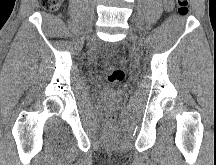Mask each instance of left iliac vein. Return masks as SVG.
I'll list each match as a JSON object with an SVG mask.
<instances>
[{"mask_svg": "<svg viewBox=\"0 0 216 165\" xmlns=\"http://www.w3.org/2000/svg\"><path fill=\"white\" fill-rule=\"evenodd\" d=\"M130 37H131L132 40H135V38H136L135 33L132 30H131V33H130Z\"/></svg>", "mask_w": 216, "mask_h": 165, "instance_id": "1", "label": "left iliac vein"}]
</instances>
